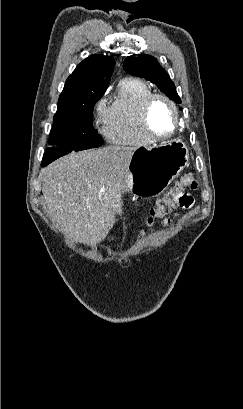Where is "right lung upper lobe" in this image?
<instances>
[{
	"label": "right lung upper lobe",
	"mask_w": 243,
	"mask_h": 409,
	"mask_svg": "<svg viewBox=\"0 0 243 409\" xmlns=\"http://www.w3.org/2000/svg\"><path fill=\"white\" fill-rule=\"evenodd\" d=\"M115 66L112 56L91 55L66 80L58 105H87L97 102L109 86Z\"/></svg>",
	"instance_id": "right-lung-upper-lobe-1"
}]
</instances>
